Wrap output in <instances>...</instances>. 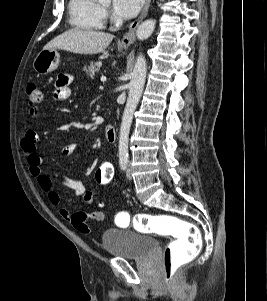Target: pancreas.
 <instances>
[{
	"label": "pancreas",
	"mask_w": 267,
	"mask_h": 301,
	"mask_svg": "<svg viewBox=\"0 0 267 301\" xmlns=\"http://www.w3.org/2000/svg\"><path fill=\"white\" fill-rule=\"evenodd\" d=\"M101 65V62H91L89 66L84 68V71H86L87 75H89L90 78H93L95 74L99 72Z\"/></svg>",
	"instance_id": "cf45deb5"
}]
</instances>
